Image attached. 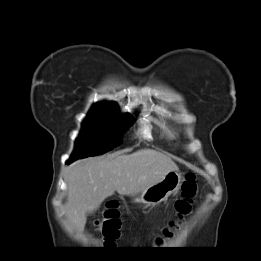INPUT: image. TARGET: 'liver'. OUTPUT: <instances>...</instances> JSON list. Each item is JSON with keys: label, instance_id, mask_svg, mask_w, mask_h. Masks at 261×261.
Segmentation results:
<instances>
[{"label": "liver", "instance_id": "liver-1", "mask_svg": "<svg viewBox=\"0 0 261 261\" xmlns=\"http://www.w3.org/2000/svg\"><path fill=\"white\" fill-rule=\"evenodd\" d=\"M174 170L178 167L170 157L149 148L78 160L66 169L67 217L82 231L86 215L115 191L121 195L141 193Z\"/></svg>", "mask_w": 261, "mask_h": 261}]
</instances>
